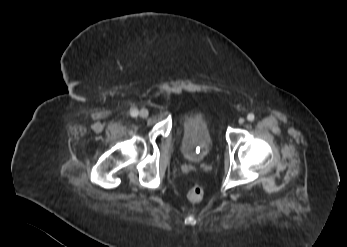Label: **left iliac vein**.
I'll use <instances>...</instances> for the list:
<instances>
[{"label":"left iliac vein","instance_id":"left-iliac-vein-1","mask_svg":"<svg viewBox=\"0 0 347 247\" xmlns=\"http://www.w3.org/2000/svg\"><path fill=\"white\" fill-rule=\"evenodd\" d=\"M238 122H239V124H243V123L245 122V120H244V118H240V119L238 120Z\"/></svg>","mask_w":347,"mask_h":247}]
</instances>
